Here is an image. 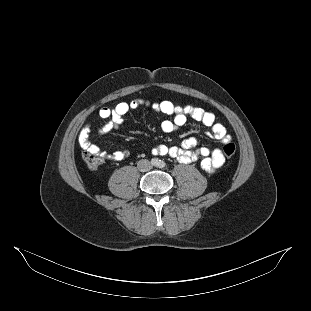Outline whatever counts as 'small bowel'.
Wrapping results in <instances>:
<instances>
[{
    "mask_svg": "<svg viewBox=\"0 0 311 311\" xmlns=\"http://www.w3.org/2000/svg\"><path fill=\"white\" fill-rule=\"evenodd\" d=\"M142 104H145L142 100H133L131 102H120L113 108H101L98 112V118L108 119V121L103 126L97 128L95 130L96 133L105 135L113 129L121 127L124 115ZM153 108L157 112L173 117L171 120L162 122L161 129L165 133L174 132L186 123L187 118H192L209 127L208 134L212 138L223 144L231 141V137L228 135L225 127L216 121L214 114L200 107L193 105L179 106L169 100H163L153 104ZM91 132V126L86 125L79 134V143L84 150L90 149L99 152L100 148L89 140ZM196 145L197 140L195 138H188L183 141L181 147L159 145L153 148L151 152L154 155H169L178 159L181 163L200 160L201 168L207 172H213L224 164L225 157L222 150H210L206 147L194 148ZM127 156L128 152L120 149H115L112 154V158L115 160H122Z\"/></svg>",
    "mask_w": 311,
    "mask_h": 311,
    "instance_id": "small-bowel-1",
    "label": "small bowel"
}]
</instances>
